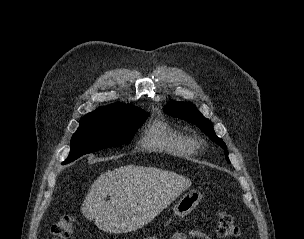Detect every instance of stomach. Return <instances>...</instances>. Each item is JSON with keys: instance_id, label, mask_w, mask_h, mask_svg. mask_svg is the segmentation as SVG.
I'll return each mask as SVG.
<instances>
[{"instance_id": "0dacf381", "label": "stomach", "mask_w": 304, "mask_h": 239, "mask_svg": "<svg viewBox=\"0 0 304 239\" xmlns=\"http://www.w3.org/2000/svg\"><path fill=\"white\" fill-rule=\"evenodd\" d=\"M203 195L197 190L185 193L173 207L175 216L184 217L188 215L202 200Z\"/></svg>"}]
</instances>
